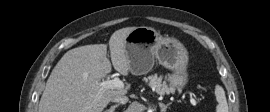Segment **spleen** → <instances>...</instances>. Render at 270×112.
Instances as JSON below:
<instances>
[{"instance_id": "1", "label": "spleen", "mask_w": 270, "mask_h": 112, "mask_svg": "<svg viewBox=\"0 0 270 112\" xmlns=\"http://www.w3.org/2000/svg\"><path fill=\"white\" fill-rule=\"evenodd\" d=\"M215 95L218 102V105L216 106V112H229L225 91L221 86L217 85L215 87Z\"/></svg>"}]
</instances>
